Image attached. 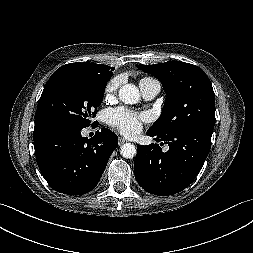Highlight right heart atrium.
Returning a JSON list of instances; mask_svg holds the SVG:
<instances>
[{
  "instance_id": "obj_1",
  "label": "right heart atrium",
  "mask_w": 253,
  "mask_h": 253,
  "mask_svg": "<svg viewBox=\"0 0 253 253\" xmlns=\"http://www.w3.org/2000/svg\"><path fill=\"white\" fill-rule=\"evenodd\" d=\"M120 85H121L120 77H115V78L111 79L105 87L106 99L113 98L117 94Z\"/></svg>"
}]
</instances>
